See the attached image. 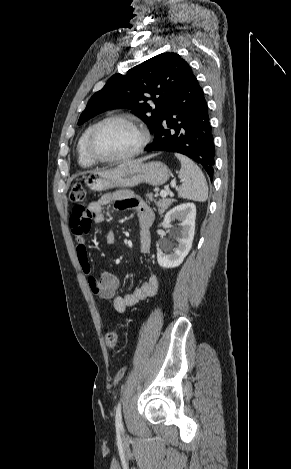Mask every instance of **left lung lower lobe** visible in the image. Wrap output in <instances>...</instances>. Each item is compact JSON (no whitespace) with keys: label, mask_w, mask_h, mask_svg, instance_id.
Wrapping results in <instances>:
<instances>
[{"label":"left lung lower lobe","mask_w":291,"mask_h":469,"mask_svg":"<svg viewBox=\"0 0 291 469\" xmlns=\"http://www.w3.org/2000/svg\"><path fill=\"white\" fill-rule=\"evenodd\" d=\"M145 151L181 153L199 163L213 178L215 146L212 128L202 88L193 72L167 105L153 143Z\"/></svg>","instance_id":"0a47b994"}]
</instances>
